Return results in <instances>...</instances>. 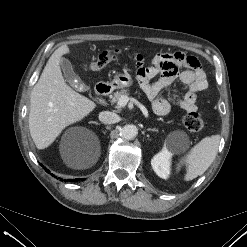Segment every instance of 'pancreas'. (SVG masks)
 Wrapping results in <instances>:
<instances>
[{
	"label": "pancreas",
	"mask_w": 247,
	"mask_h": 247,
	"mask_svg": "<svg viewBox=\"0 0 247 247\" xmlns=\"http://www.w3.org/2000/svg\"><path fill=\"white\" fill-rule=\"evenodd\" d=\"M121 96H129V90L128 89H122L120 91L115 92L113 94V96L111 97V102L117 103Z\"/></svg>",
	"instance_id": "cf45deb5"
}]
</instances>
